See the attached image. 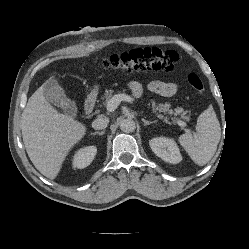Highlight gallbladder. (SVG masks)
<instances>
[{"instance_id":"obj_1","label":"gallbladder","mask_w":249,"mask_h":249,"mask_svg":"<svg viewBox=\"0 0 249 249\" xmlns=\"http://www.w3.org/2000/svg\"><path fill=\"white\" fill-rule=\"evenodd\" d=\"M43 94L49 103L60 107L66 115L76 116L77 106L75 102L66 96L65 91L55 79L47 80L43 86Z\"/></svg>"}]
</instances>
